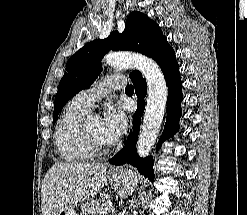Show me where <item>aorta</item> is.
<instances>
[{"label":"aorta","mask_w":247,"mask_h":215,"mask_svg":"<svg viewBox=\"0 0 247 215\" xmlns=\"http://www.w3.org/2000/svg\"><path fill=\"white\" fill-rule=\"evenodd\" d=\"M105 62L116 68L137 69L147 81L148 98L137 141L138 155L144 158L150 154L156 142L165 114L168 88L164 75L154 60L141 54L109 53L105 56Z\"/></svg>","instance_id":"aorta-1"}]
</instances>
